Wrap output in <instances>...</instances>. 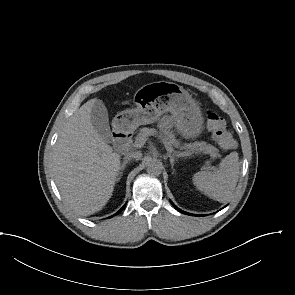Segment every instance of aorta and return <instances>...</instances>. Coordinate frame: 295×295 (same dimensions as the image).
Wrapping results in <instances>:
<instances>
[{"instance_id":"obj_1","label":"aorta","mask_w":295,"mask_h":295,"mask_svg":"<svg viewBox=\"0 0 295 295\" xmlns=\"http://www.w3.org/2000/svg\"><path fill=\"white\" fill-rule=\"evenodd\" d=\"M146 168L149 174L159 175L162 171L163 165L160 160L150 159L146 163Z\"/></svg>"}]
</instances>
